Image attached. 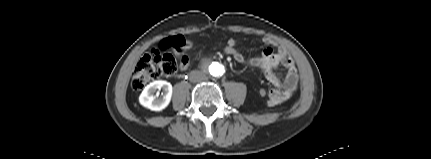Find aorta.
Instances as JSON below:
<instances>
[{
  "mask_svg": "<svg viewBox=\"0 0 431 159\" xmlns=\"http://www.w3.org/2000/svg\"><path fill=\"white\" fill-rule=\"evenodd\" d=\"M205 72L212 77H220L224 74L225 68L218 62H210L206 65Z\"/></svg>",
  "mask_w": 431,
  "mask_h": 159,
  "instance_id": "aorta-1",
  "label": "aorta"
}]
</instances>
